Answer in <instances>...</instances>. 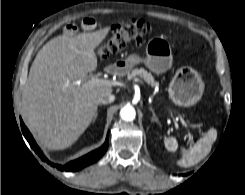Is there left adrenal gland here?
<instances>
[{"label": "left adrenal gland", "mask_w": 245, "mask_h": 195, "mask_svg": "<svg viewBox=\"0 0 245 195\" xmlns=\"http://www.w3.org/2000/svg\"><path fill=\"white\" fill-rule=\"evenodd\" d=\"M149 110L152 112V119H151V121L152 122H157L160 125V122H159V120H158V118H157V116L155 114L154 109L152 107H149Z\"/></svg>", "instance_id": "a2214340"}]
</instances>
